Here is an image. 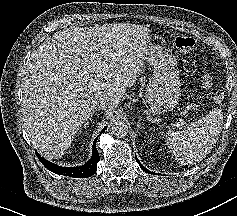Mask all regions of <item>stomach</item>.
<instances>
[{
	"instance_id": "obj_1",
	"label": "stomach",
	"mask_w": 237,
	"mask_h": 216,
	"mask_svg": "<svg viewBox=\"0 0 237 216\" xmlns=\"http://www.w3.org/2000/svg\"><path fill=\"white\" fill-rule=\"evenodd\" d=\"M156 76L147 89L148 112L171 111L180 98V81L174 59L168 50L157 47L152 60Z\"/></svg>"
}]
</instances>
